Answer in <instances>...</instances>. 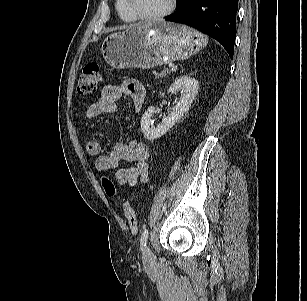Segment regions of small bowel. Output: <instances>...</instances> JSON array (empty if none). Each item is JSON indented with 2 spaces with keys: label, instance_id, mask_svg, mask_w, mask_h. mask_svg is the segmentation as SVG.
<instances>
[{
  "label": "small bowel",
  "instance_id": "small-bowel-1",
  "mask_svg": "<svg viewBox=\"0 0 307 301\" xmlns=\"http://www.w3.org/2000/svg\"><path fill=\"white\" fill-rule=\"evenodd\" d=\"M122 97H128L135 111L140 110L145 98L143 84L135 79L127 80L122 85H106L97 101L86 110L88 119H95L105 113H116L117 103ZM88 153L95 157V167L101 172L115 170V179L121 186L133 187L139 180L146 181L149 172L148 146L138 140L119 142L110 153H103L98 140L87 144ZM131 163V166L120 167V162Z\"/></svg>",
  "mask_w": 307,
  "mask_h": 301
}]
</instances>
